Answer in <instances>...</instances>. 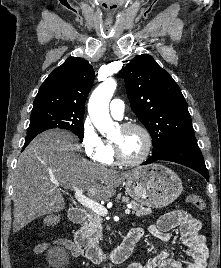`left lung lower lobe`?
I'll use <instances>...</instances> for the list:
<instances>
[{
  "instance_id": "1",
  "label": "left lung lower lobe",
  "mask_w": 221,
  "mask_h": 268,
  "mask_svg": "<svg viewBox=\"0 0 221 268\" xmlns=\"http://www.w3.org/2000/svg\"><path fill=\"white\" fill-rule=\"evenodd\" d=\"M157 160L172 161L185 165L202 174L207 181L209 180L208 170L195 136L174 140L162 152L152 154L142 165L150 164Z\"/></svg>"
}]
</instances>
